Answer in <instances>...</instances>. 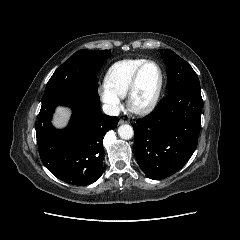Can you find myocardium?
Masks as SVG:
<instances>
[{
  "label": "myocardium",
  "instance_id": "f54148a6",
  "mask_svg": "<svg viewBox=\"0 0 240 240\" xmlns=\"http://www.w3.org/2000/svg\"><path fill=\"white\" fill-rule=\"evenodd\" d=\"M149 64H153L157 70H158V75H159V79H158V84L157 87L152 95V97L150 98V100L142 105H138L135 103L134 101V95L138 86V81H139V77L140 74L142 72V70L144 69V67L146 65ZM163 84H164V74H163V70L161 68V66L153 60H145L134 72V74L132 75V78L130 80L129 86H128V90H127V94H126V98H127V105L129 107V109L139 115H144V114H148L149 112H151L157 105L162 89H163Z\"/></svg>",
  "mask_w": 240,
  "mask_h": 240
}]
</instances>
